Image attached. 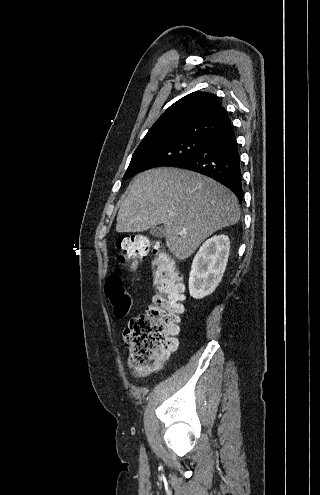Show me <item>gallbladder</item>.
Segmentation results:
<instances>
[{
  "label": "gallbladder",
  "instance_id": "obj_1",
  "mask_svg": "<svg viewBox=\"0 0 320 495\" xmlns=\"http://www.w3.org/2000/svg\"><path fill=\"white\" fill-rule=\"evenodd\" d=\"M150 234L157 238H162L165 232L162 226H155L150 230Z\"/></svg>",
  "mask_w": 320,
  "mask_h": 495
}]
</instances>
